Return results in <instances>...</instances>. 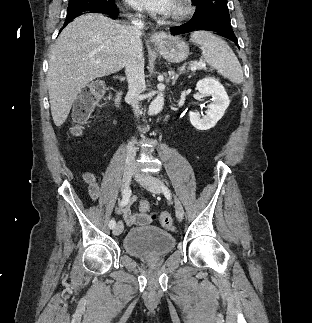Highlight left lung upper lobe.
<instances>
[{"label":"left lung upper lobe","mask_w":312,"mask_h":323,"mask_svg":"<svg viewBox=\"0 0 312 323\" xmlns=\"http://www.w3.org/2000/svg\"><path fill=\"white\" fill-rule=\"evenodd\" d=\"M196 5V11L190 20L196 22L214 15L229 16L227 0H192Z\"/></svg>","instance_id":"left-lung-upper-lobe-1"}]
</instances>
